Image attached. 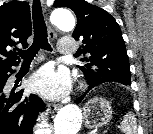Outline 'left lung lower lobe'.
<instances>
[{
  "label": "left lung lower lobe",
  "mask_w": 153,
  "mask_h": 134,
  "mask_svg": "<svg viewBox=\"0 0 153 134\" xmlns=\"http://www.w3.org/2000/svg\"><path fill=\"white\" fill-rule=\"evenodd\" d=\"M95 86H96V85L89 86L87 92L90 91V90H91L92 88H94ZM87 92H85L81 97L77 98V99L75 100V102H76V103H80L81 100L84 98V96L87 94Z\"/></svg>",
  "instance_id": "0a47b994"
}]
</instances>
